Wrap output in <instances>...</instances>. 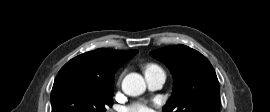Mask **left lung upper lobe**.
<instances>
[{"label": "left lung upper lobe", "instance_id": "left-lung-upper-lobe-1", "mask_svg": "<svg viewBox=\"0 0 270 112\" xmlns=\"http://www.w3.org/2000/svg\"><path fill=\"white\" fill-rule=\"evenodd\" d=\"M164 62L174 78L172 96L163 112H220V91L216 73L198 51L179 44L150 52Z\"/></svg>", "mask_w": 270, "mask_h": 112}]
</instances>
